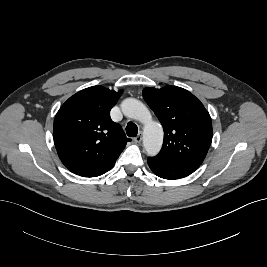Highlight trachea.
<instances>
[{
	"instance_id": "3493384b",
	"label": "trachea",
	"mask_w": 267,
	"mask_h": 267,
	"mask_svg": "<svg viewBox=\"0 0 267 267\" xmlns=\"http://www.w3.org/2000/svg\"><path fill=\"white\" fill-rule=\"evenodd\" d=\"M126 133L129 137H135L138 133L137 125L133 122H129L126 126Z\"/></svg>"
}]
</instances>
